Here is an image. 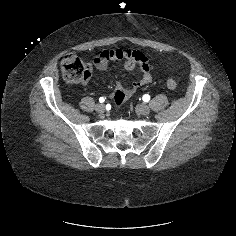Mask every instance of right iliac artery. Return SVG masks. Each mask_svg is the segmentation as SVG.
I'll return each instance as SVG.
<instances>
[{
	"label": "right iliac artery",
	"instance_id": "obj_1",
	"mask_svg": "<svg viewBox=\"0 0 236 236\" xmlns=\"http://www.w3.org/2000/svg\"><path fill=\"white\" fill-rule=\"evenodd\" d=\"M104 101H105V98H104V97H100V98H99V102H100V103H103Z\"/></svg>",
	"mask_w": 236,
	"mask_h": 236
}]
</instances>
